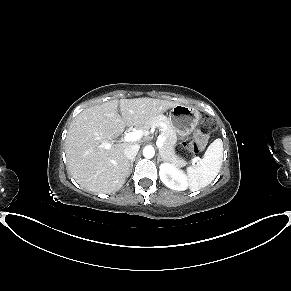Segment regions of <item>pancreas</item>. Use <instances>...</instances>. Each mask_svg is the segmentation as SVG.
Masks as SVG:
<instances>
[{
    "label": "pancreas",
    "instance_id": "pancreas-1",
    "mask_svg": "<svg viewBox=\"0 0 291 291\" xmlns=\"http://www.w3.org/2000/svg\"><path fill=\"white\" fill-rule=\"evenodd\" d=\"M165 123L167 126V130L163 131L161 124ZM158 127L160 134L162 136H166L165 141L163 142V147L159 148V153L164 161L172 163L177 167H184L187 162L178 157L175 153L174 146L177 141L176 132L171 127L167 119H162L160 117L152 118L148 123H146V127Z\"/></svg>",
    "mask_w": 291,
    "mask_h": 291
}]
</instances>
